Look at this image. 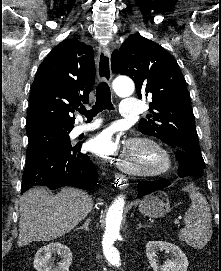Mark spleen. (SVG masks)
Here are the masks:
<instances>
[{
    "instance_id": "obj_1",
    "label": "spleen",
    "mask_w": 221,
    "mask_h": 271,
    "mask_svg": "<svg viewBox=\"0 0 221 271\" xmlns=\"http://www.w3.org/2000/svg\"><path fill=\"white\" fill-rule=\"evenodd\" d=\"M191 205L184 215L185 227L180 229V241H186L194 249H202L212 235V215L208 201L202 193L190 195Z\"/></svg>"
}]
</instances>
